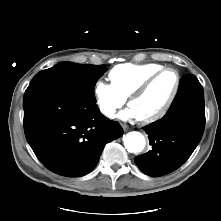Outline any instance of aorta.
Instances as JSON below:
<instances>
[{
  "label": "aorta",
  "mask_w": 221,
  "mask_h": 221,
  "mask_svg": "<svg viewBox=\"0 0 221 221\" xmlns=\"http://www.w3.org/2000/svg\"><path fill=\"white\" fill-rule=\"evenodd\" d=\"M123 141L125 148L131 153L141 152L145 147V138L137 131L127 133Z\"/></svg>",
  "instance_id": "obj_1"
}]
</instances>
